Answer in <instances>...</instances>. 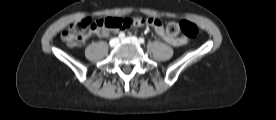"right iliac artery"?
Masks as SVG:
<instances>
[{
  "mask_svg": "<svg viewBox=\"0 0 276 120\" xmlns=\"http://www.w3.org/2000/svg\"><path fill=\"white\" fill-rule=\"evenodd\" d=\"M119 38H124L125 37V33L124 32H120L119 35H118Z\"/></svg>",
  "mask_w": 276,
  "mask_h": 120,
  "instance_id": "82829eb1",
  "label": "right iliac artery"
}]
</instances>
